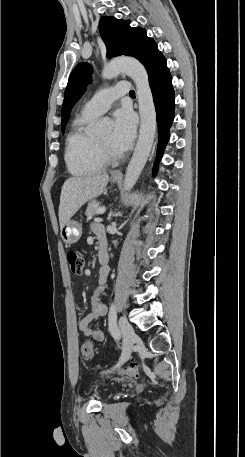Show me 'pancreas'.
<instances>
[{
  "label": "pancreas",
  "mask_w": 245,
  "mask_h": 457,
  "mask_svg": "<svg viewBox=\"0 0 245 457\" xmlns=\"http://www.w3.org/2000/svg\"><path fill=\"white\" fill-rule=\"evenodd\" d=\"M100 202L98 200H90L88 202L87 210L85 212L86 216H94L99 208Z\"/></svg>",
  "instance_id": "pancreas-1"
}]
</instances>
